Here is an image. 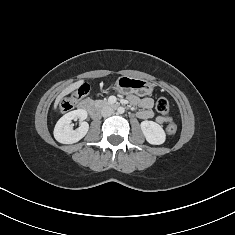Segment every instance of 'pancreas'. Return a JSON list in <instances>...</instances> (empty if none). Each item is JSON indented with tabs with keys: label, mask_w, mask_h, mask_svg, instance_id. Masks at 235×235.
<instances>
[{
	"label": "pancreas",
	"mask_w": 235,
	"mask_h": 235,
	"mask_svg": "<svg viewBox=\"0 0 235 235\" xmlns=\"http://www.w3.org/2000/svg\"><path fill=\"white\" fill-rule=\"evenodd\" d=\"M95 103L100 106H104V105L108 104V102L106 100H96Z\"/></svg>",
	"instance_id": "pancreas-1"
}]
</instances>
